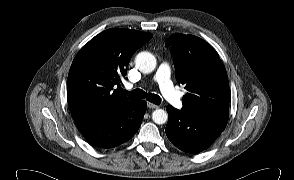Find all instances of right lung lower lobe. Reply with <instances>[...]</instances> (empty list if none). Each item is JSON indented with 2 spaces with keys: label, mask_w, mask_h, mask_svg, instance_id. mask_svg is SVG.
I'll return each mask as SVG.
<instances>
[{
  "label": "right lung lower lobe",
  "mask_w": 294,
  "mask_h": 180,
  "mask_svg": "<svg viewBox=\"0 0 294 180\" xmlns=\"http://www.w3.org/2000/svg\"><path fill=\"white\" fill-rule=\"evenodd\" d=\"M146 108L145 101L130 100L103 117L80 122L77 126L91 144L100 148H112L134 136Z\"/></svg>",
  "instance_id": "1"
}]
</instances>
